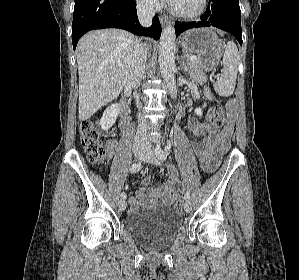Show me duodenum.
Segmentation results:
<instances>
[{"mask_svg": "<svg viewBox=\"0 0 299 280\" xmlns=\"http://www.w3.org/2000/svg\"><path fill=\"white\" fill-rule=\"evenodd\" d=\"M120 107H121V111L124 115V125L126 124L127 122V119H126V113H127V104H126V100L125 99H122L121 102H120Z\"/></svg>", "mask_w": 299, "mask_h": 280, "instance_id": "410a0bca", "label": "duodenum"}]
</instances>
